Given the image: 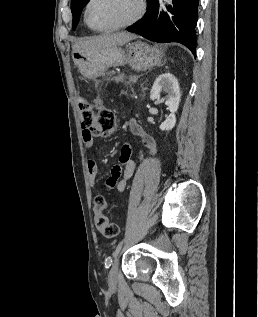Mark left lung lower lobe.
Wrapping results in <instances>:
<instances>
[{"label":"left lung lower lobe","instance_id":"1","mask_svg":"<svg viewBox=\"0 0 258 317\" xmlns=\"http://www.w3.org/2000/svg\"><path fill=\"white\" fill-rule=\"evenodd\" d=\"M147 12L142 20L127 30L151 41L178 42L191 50L196 57V23L199 0H173L169 13H161L158 20V0H147Z\"/></svg>","mask_w":258,"mask_h":317}]
</instances>
